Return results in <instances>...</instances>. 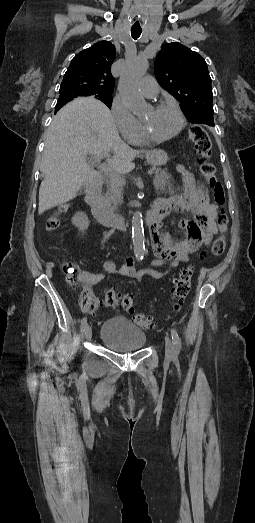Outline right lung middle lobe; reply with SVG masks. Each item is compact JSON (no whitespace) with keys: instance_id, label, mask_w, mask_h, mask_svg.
Returning a JSON list of instances; mask_svg holds the SVG:
<instances>
[{"instance_id":"right-lung-middle-lobe-1","label":"right lung middle lobe","mask_w":255,"mask_h":523,"mask_svg":"<svg viewBox=\"0 0 255 523\" xmlns=\"http://www.w3.org/2000/svg\"><path fill=\"white\" fill-rule=\"evenodd\" d=\"M79 96H89V95H80V94L69 93V92H60L58 101L69 102ZM94 97L96 99L102 101L103 103H105L109 108H111L112 101H113V98L111 95H101V96H94Z\"/></svg>"}]
</instances>
